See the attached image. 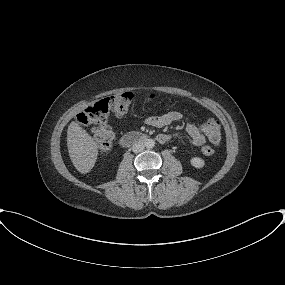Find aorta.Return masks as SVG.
<instances>
[{
    "mask_svg": "<svg viewBox=\"0 0 285 285\" xmlns=\"http://www.w3.org/2000/svg\"><path fill=\"white\" fill-rule=\"evenodd\" d=\"M144 145L146 148L148 149H151L154 147L155 145V141L153 139H147L145 142H144Z\"/></svg>",
    "mask_w": 285,
    "mask_h": 285,
    "instance_id": "obj_1",
    "label": "aorta"
}]
</instances>
